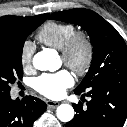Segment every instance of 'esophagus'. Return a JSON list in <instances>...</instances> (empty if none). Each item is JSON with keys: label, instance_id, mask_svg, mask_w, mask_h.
I'll return each mask as SVG.
<instances>
[{"label": "esophagus", "instance_id": "obj_1", "mask_svg": "<svg viewBox=\"0 0 127 127\" xmlns=\"http://www.w3.org/2000/svg\"><path fill=\"white\" fill-rule=\"evenodd\" d=\"M48 109H55L60 103L59 102H54L51 100L46 101Z\"/></svg>", "mask_w": 127, "mask_h": 127}]
</instances>
